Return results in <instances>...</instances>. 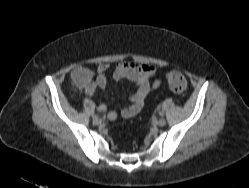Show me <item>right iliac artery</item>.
<instances>
[{
    "label": "right iliac artery",
    "mask_w": 249,
    "mask_h": 188,
    "mask_svg": "<svg viewBox=\"0 0 249 188\" xmlns=\"http://www.w3.org/2000/svg\"><path fill=\"white\" fill-rule=\"evenodd\" d=\"M96 118H98V116L97 115H93V119H96Z\"/></svg>",
    "instance_id": "right-iliac-artery-1"
}]
</instances>
